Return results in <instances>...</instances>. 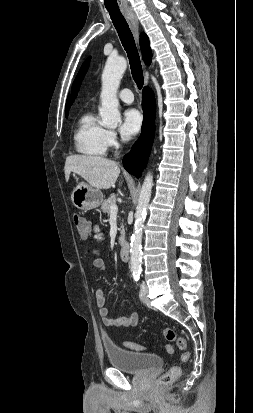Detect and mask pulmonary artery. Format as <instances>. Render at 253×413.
I'll list each match as a JSON object with an SVG mask.
<instances>
[{"mask_svg":"<svg viewBox=\"0 0 253 413\" xmlns=\"http://www.w3.org/2000/svg\"><path fill=\"white\" fill-rule=\"evenodd\" d=\"M118 97L125 103H132L134 100V96L133 93L130 89L125 88L122 89L119 93H118Z\"/></svg>","mask_w":253,"mask_h":413,"instance_id":"obj_1","label":"pulmonary artery"}]
</instances>
